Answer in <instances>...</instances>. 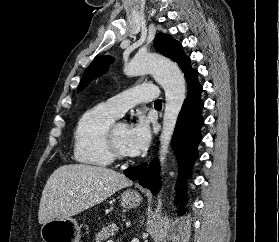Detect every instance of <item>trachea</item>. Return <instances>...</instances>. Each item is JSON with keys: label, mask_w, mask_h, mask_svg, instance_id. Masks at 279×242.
Here are the masks:
<instances>
[{"label": "trachea", "mask_w": 279, "mask_h": 242, "mask_svg": "<svg viewBox=\"0 0 279 242\" xmlns=\"http://www.w3.org/2000/svg\"><path fill=\"white\" fill-rule=\"evenodd\" d=\"M154 105L156 107H161L162 106V100L161 99L156 100Z\"/></svg>", "instance_id": "obj_1"}]
</instances>
